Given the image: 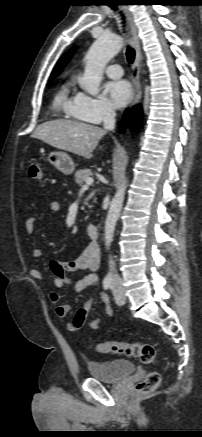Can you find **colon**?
<instances>
[{
  "label": "colon",
  "mask_w": 202,
  "mask_h": 437,
  "mask_svg": "<svg viewBox=\"0 0 202 437\" xmlns=\"http://www.w3.org/2000/svg\"><path fill=\"white\" fill-rule=\"evenodd\" d=\"M29 176L32 179L42 180L43 166L39 161H32L29 165ZM96 350L99 353H113L121 354L127 357L137 359L143 364H152L156 360V352L152 345L132 342L127 343L123 341H104L96 346ZM161 381V377L157 372H150L141 382L136 386V392L139 394H146L155 390Z\"/></svg>",
  "instance_id": "obj_1"
}]
</instances>
